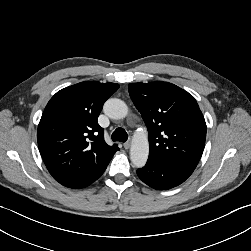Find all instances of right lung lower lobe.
<instances>
[{"label": "right lung lower lobe", "instance_id": "98d812e1", "mask_svg": "<svg viewBox=\"0 0 251 251\" xmlns=\"http://www.w3.org/2000/svg\"><path fill=\"white\" fill-rule=\"evenodd\" d=\"M106 167L103 170H101L95 177L88 179L87 181H84V182H79V183H75L72 185H66V187L73 188V189L84 188V187L90 185L91 183H93L95 180H97L103 174Z\"/></svg>", "mask_w": 251, "mask_h": 251}]
</instances>
